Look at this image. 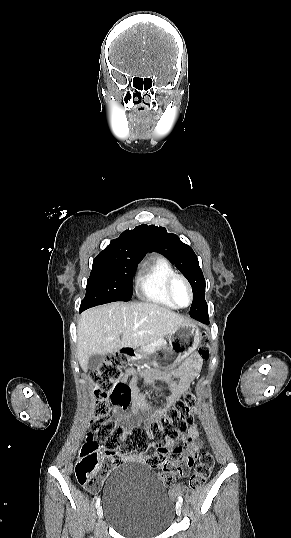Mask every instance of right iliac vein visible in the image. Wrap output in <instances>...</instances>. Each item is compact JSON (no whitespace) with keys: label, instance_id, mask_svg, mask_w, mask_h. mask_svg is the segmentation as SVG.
Here are the masks:
<instances>
[{"label":"right iliac vein","instance_id":"obj_1","mask_svg":"<svg viewBox=\"0 0 291 538\" xmlns=\"http://www.w3.org/2000/svg\"><path fill=\"white\" fill-rule=\"evenodd\" d=\"M97 515H98V518L101 519L102 516H103V510H102V506L99 505L98 508H97Z\"/></svg>","mask_w":291,"mask_h":538}]
</instances>
